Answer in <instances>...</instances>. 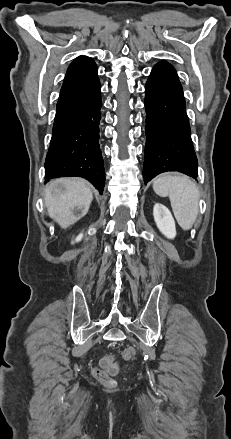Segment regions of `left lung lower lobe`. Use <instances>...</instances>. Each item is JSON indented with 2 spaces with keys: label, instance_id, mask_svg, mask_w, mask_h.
Returning a JSON list of instances; mask_svg holds the SVG:
<instances>
[{
  "label": "left lung lower lobe",
  "instance_id": "left-lung-lower-lobe-1",
  "mask_svg": "<svg viewBox=\"0 0 231 439\" xmlns=\"http://www.w3.org/2000/svg\"><path fill=\"white\" fill-rule=\"evenodd\" d=\"M146 145L144 183L166 171L196 178L193 149L183 89L174 67L161 61L153 68L145 87Z\"/></svg>",
  "mask_w": 231,
  "mask_h": 439
}]
</instances>
